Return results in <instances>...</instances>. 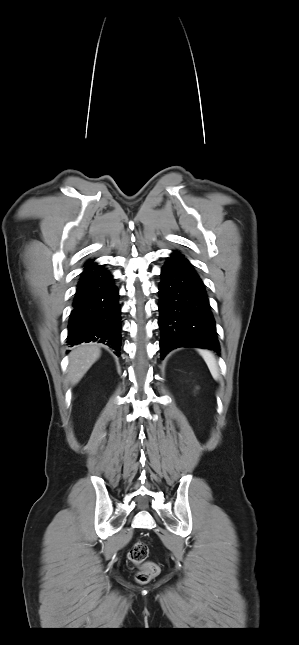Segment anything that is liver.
Returning a JSON list of instances; mask_svg holds the SVG:
<instances>
[{
	"mask_svg": "<svg viewBox=\"0 0 299 645\" xmlns=\"http://www.w3.org/2000/svg\"><path fill=\"white\" fill-rule=\"evenodd\" d=\"M100 348L94 344L76 346L69 354L68 379L77 384L90 367L99 359Z\"/></svg>",
	"mask_w": 299,
	"mask_h": 645,
	"instance_id": "liver-1",
	"label": "liver"
}]
</instances>
